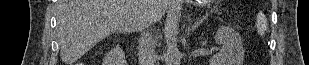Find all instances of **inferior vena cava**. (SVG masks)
I'll return each instance as SVG.
<instances>
[{
    "label": "inferior vena cava",
    "mask_w": 309,
    "mask_h": 65,
    "mask_svg": "<svg viewBox=\"0 0 309 65\" xmlns=\"http://www.w3.org/2000/svg\"><path fill=\"white\" fill-rule=\"evenodd\" d=\"M153 21H147L140 32L141 35L138 40V55L140 65H155L156 54L154 50V40L152 35Z\"/></svg>",
    "instance_id": "1"
}]
</instances>
